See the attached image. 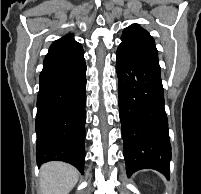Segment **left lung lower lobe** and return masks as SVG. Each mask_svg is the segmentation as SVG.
I'll return each instance as SVG.
<instances>
[{
  "mask_svg": "<svg viewBox=\"0 0 201 194\" xmlns=\"http://www.w3.org/2000/svg\"><path fill=\"white\" fill-rule=\"evenodd\" d=\"M116 71L127 175L155 169L169 179L171 145L158 56L121 43Z\"/></svg>",
  "mask_w": 201,
  "mask_h": 194,
  "instance_id": "0a47b994",
  "label": "left lung lower lobe"
}]
</instances>
